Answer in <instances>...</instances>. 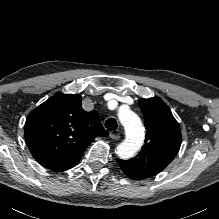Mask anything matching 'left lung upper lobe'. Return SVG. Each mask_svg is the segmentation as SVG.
<instances>
[{
  "instance_id": "1",
  "label": "left lung upper lobe",
  "mask_w": 219,
  "mask_h": 219,
  "mask_svg": "<svg viewBox=\"0 0 219 219\" xmlns=\"http://www.w3.org/2000/svg\"><path fill=\"white\" fill-rule=\"evenodd\" d=\"M145 120V145L129 160L117 159L125 174L136 180L151 178L165 169L179 152L182 136L169 107L158 97L139 100Z\"/></svg>"
}]
</instances>
